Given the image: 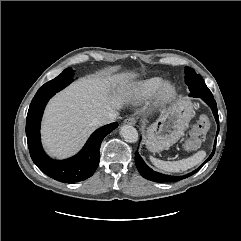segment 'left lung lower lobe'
Here are the masks:
<instances>
[{
	"instance_id": "obj_1",
	"label": "left lung lower lobe",
	"mask_w": 241,
	"mask_h": 241,
	"mask_svg": "<svg viewBox=\"0 0 241 241\" xmlns=\"http://www.w3.org/2000/svg\"><path fill=\"white\" fill-rule=\"evenodd\" d=\"M192 83H189V89H190V96L192 97H200L207 105H209V107L212 109V112L214 114V117L216 119L217 125H218V130H217V134L216 137L219 133V117H218V112H217V105H216V101L214 100L212 94H203V93H194L192 91H194V87L191 86ZM216 141L217 138L215 139V145H216ZM215 145H214V149L213 152L211 153V155L209 156V158L196 170H194L193 172L185 175V176H170V175H164L161 173H157L154 172L151 168H149L143 161V159L141 158V156L138 154V152L135 153V163L137 166L138 171L140 172V174L146 178L149 179L151 181H155V182H159V183H172V182H177L180 181L182 179H185L193 174H195L197 171H199L202 166L209 161L212 156L214 155L215 152Z\"/></svg>"
}]
</instances>
